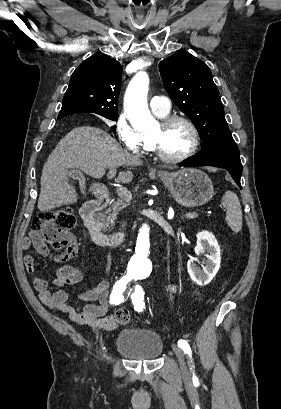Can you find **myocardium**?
Masks as SVG:
<instances>
[{"instance_id": "1", "label": "myocardium", "mask_w": 281, "mask_h": 409, "mask_svg": "<svg viewBox=\"0 0 281 409\" xmlns=\"http://www.w3.org/2000/svg\"><path fill=\"white\" fill-rule=\"evenodd\" d=\"M174 122L184 123L189 129L191 133V138H192L189 149L180 156H170L164 153L162 149L160 148L157 135H149V134L144 135L148 150L153 152L158 158H160L161 160L167 163H180V162H183L189 159L196 153L198 146H199L198 130L196 126L194 125V123L186 116H183V115L166 116L158 122V129L161 131Z\"/></svg>"}]
</instances>
